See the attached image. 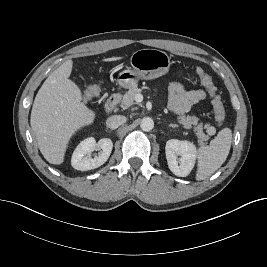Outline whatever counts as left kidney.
I'll use <instances>...</instances> for the list:
<instances>
[{
    "mask_svg": "<svg viewBox=\"0 0 267 267\" xmlns=\"http://www.w3.org/2000/svg\"><path fill=\"white\" fill-rule=\"evenodd\" d=\"M165 153L169 169L178 177H186L195 165L197 149L193 142L168 140Z\"/></svg>",
    "mask_w": 267,
    "mask_h": 267,
    "instance_id": "obj_1",
    "label": "left kidney"
}]
</instances>
